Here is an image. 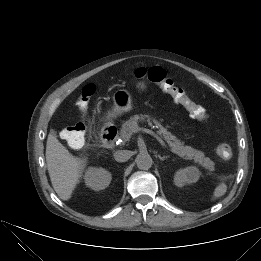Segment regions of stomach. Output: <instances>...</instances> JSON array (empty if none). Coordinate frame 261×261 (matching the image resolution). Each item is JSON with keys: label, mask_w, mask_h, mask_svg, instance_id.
Wrapping results in <instances>:
<instances>
[{"label": "stomach", "mask_w": 261, "mask_h": 261, "mask_svg": "<svg viewBox=\"0 0 261 261\" xmlns=\"http://www.w3.org/2000/svg\"><path fill=\"white\" fill-rule=\"evenodd\" d=\"M136 88L142 92L147 89L144 82H138ZM133 110V101L131 94L124 89L115 91L113 94V107L107 113V119L111 120Z\"/></svg>", "instance_id": "obj_1"}]
</instances>
